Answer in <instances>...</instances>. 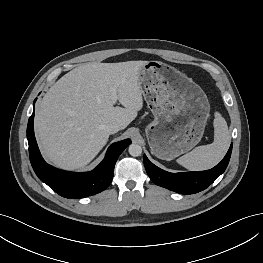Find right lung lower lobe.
Instances as JSON below:
<instances>
[{"mask_svg":"<svg viewBox=\"0 0 263 263\" xmlns=\"http://www.w3.org/2000/svg\"><path fill=\"white\" fill-rule=\"evenodd\" d=\"M34 112L35 109L28 121L27 139L30 162L39 179L65 198L79 199L105 190L112 181L119 155L131 143V140L113 143L108 148L103 161L91 172L75 173L59 170L48 165L40 154L34 136Z\"/></svg>","mask_w":263,"mask_h":263,"instance_id":"98d812e1","label":"right lung lower lobe"}]
</instances>
